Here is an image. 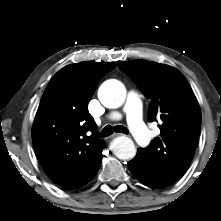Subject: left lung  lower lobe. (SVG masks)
<instances>
[{
    "mask_svg": "<svg viewBox=\"0 0 221 221\" xmlns=\"http://www.w3.org/2000/svg\"><path fill=\"white\" fill-rule=\"evenodd\" d=\"M128 168L133 176L144 185L156 189L161 188L153 179L140 148L136 157L128 162Z\"/></svg>",
    "mask_w": 221,
    "mask_h": 221,
    "instance_id": "0a47b994",
    "label": "left lung lower lobe"
}]
</instances>
